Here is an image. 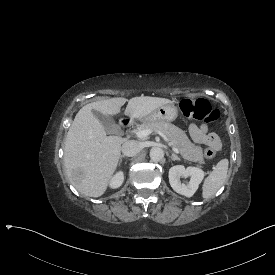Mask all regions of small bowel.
Segmentation results:
<instances>
[{"label": "small bowel", "mask_w": 275, "mask_h": 275, "mask_svg": "<svg viewBox=\"0 0 275 275\" xmlns=\"http://www.w3.org/2000/svg\"><path fill=\"white\" fill-rule=\"evenodd\" d=\"M191 137L193 140L202 145L214 147L217 150L221 147V142L218 136L208 131V127L204 124L195 125L191 124L189 127Z\"/></svg>", "instance_id": "obj_1"}]
</instances>
